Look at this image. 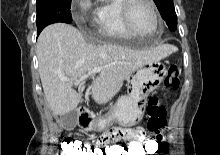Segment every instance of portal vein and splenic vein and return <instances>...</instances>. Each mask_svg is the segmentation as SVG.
<instances>
[{"label":"portal vein and splenic vein","instance_id":"1","mask_svg":"<svg viewBox=\"0 0 220 155\" xmlns=\"http://www.w3.org/2000/svg\"><path fill=\"white\" fill-rule=\"evenodd\" d=\"M102 70L101 67H95L93 68L89 73L87 74H84L83 76H81L79 79H76L74 80V85H78L80 84L81 82H83L85 79H87L89 76H94L96 75L97 73H99L100 71ZM63 81H68L67 79L63 78L62 79Z\"/></svg>","mask_w":220,"mask_h":155}]
</instances>
